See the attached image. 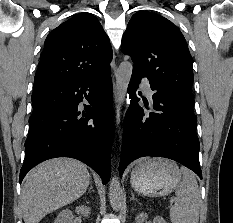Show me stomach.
<instances>
[{
  "label": "stomach",
  "instance_id": "0dacf381",
  "mask_svg": "<svg viewBox=\"0 0 233 223\" xmlns=\"http://www.w3.org/2000/svg\"><path fill=\"white\" fill-rule=\"evenodd\" d=\"M182 173L175 161L161 157H145L131 171V185L147 197H163L176 189Z\"/></svg>",
  "mask_w": 233,
  "mask_h": 223
}]
</instances>
